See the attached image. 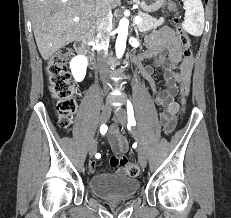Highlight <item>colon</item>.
Instances as JSON below:
<instances>
[{
    "mask_svg": "<svg viewBox=\"0 0 231 218\" xmlns=\"http://www.w3.org/2000/svg\"><path fill=\"white\" fill-rule=\"evenodd\" d=\"M174 8V6L172 5ZM176 24V33L179 42L184 49L185 56H191L190 38L186 31L182 28L180 17L173 18ZM71 50L64 47L52 55L46 63V75L48 87L52 97L56 101V110L60 126L68 128L72 123V118L77 106L76 88L71 80V75L68 69V60ZM190 94V80H184L180 85V95L182 104H186V100ZM121 165L125 167L126 173L131 177H136L140 174V167L135 162L122 160Z\"/></svg>",
    "mask_w": 231,
    "mask_h": 218,
    "instance_id": "obj_1",
    "label": "colon"
}]
</instances>
